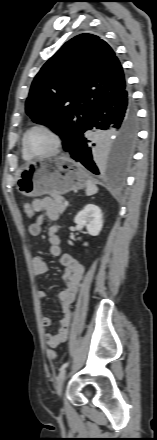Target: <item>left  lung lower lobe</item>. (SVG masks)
I'll return each instance as SVG.
<instances>
[{
	"instance_id": "obj_1",
	"label": "left lung lower lobe",
	"mask_w": 157,
	"mask_h": 440,
	"mask_svg": "<svg viewBox=\"0 0 157 440\" xmlns=\"http://www.w3.org/2000/svg\"><path fill=\"white\" fill-rule=\"evenodd\" d=\"M137 127L136 107L126 87L94 111L67 152L96 175H120L130 161Z\"/></svg>"
}]
</instances>
